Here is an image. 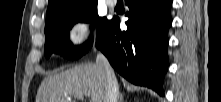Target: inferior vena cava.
I'll list each match as a JSON object with an SVG mask.
<instances>
[{
	"label": "inferior vena cava",
	"mask_w": 221,
	"mask_h": 102,
	"mask_svg": "<svg viewBox=\"0 0 221 102\" xmlns=\"http://www.w3.org/2000/svg\"><path fill=\"white\" fill-rule=\"evenodd\" d=\"M96 64L102 67L106 74L105 102H117L119 95V88L111 65L109 64L107 58L102 53L97 54Z\"/></svg>",
	"instance_id": "602c4592"
}]
</instances>
